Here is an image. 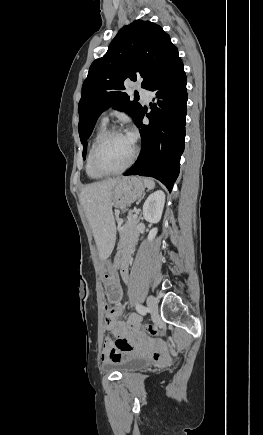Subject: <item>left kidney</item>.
<instances>
[{
	"mask_svg": "<svg viewBox=\"0 0 263 435\" xmlns=\"http://www.w3.org/2000/svg\"><path fill=\"white\" fill-rule=\"evenodd\" d=\"M164 204L165 193L162 190H157L150 194L143 205V216L145 220L150 223H158L162 216ZM157 231V228L150 230L148 235L149 241L155 238Z\"/></svg>",
	"mask_w": 263,
	"mask_h": 435,
	"instance_id": "1",
	"label": "left kidney"
}]
</instances>
